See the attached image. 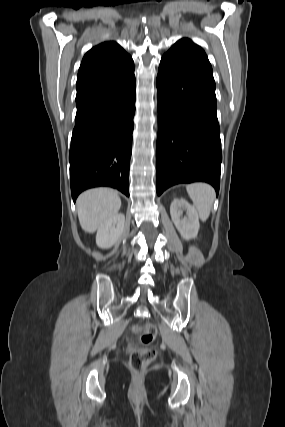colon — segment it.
I'll list each match as a JSON object with an SVG mask.
<instances>
[{
  "label": "colon",
  "mask_w": 285,
  "mask_h": 427,
  "mask_svg": "<svg viewBox=\"0 0 285 427\" xmlns=\"http://www.w3.org/2000/svg\"><path fill=\"white\" fill-rule=\"evenodd\" d=\"M135 332L140 347L132 350L129 366L134 373L141 374L156 356L155 350L149 347L156 337V328L150 323H145L136 327Z\"/></svg>",
  "instance_id": "5ec220e1"
}]
</instances>
